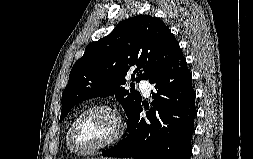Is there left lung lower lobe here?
<instances>
[{
	"instance_id": "0a47b994",
	"label": "left lung lower lobe",
	"mask_w": 253,
	"mask_h": 159,
	"mask_svg": "<svg viewBox=\"0 0 253 159\" xmlns=\"http://www.w3.org/2000/svg\"><path fill=\"white\" fill-rule=\"evenodd\" d=\"M192 75L179 50L170 62L149 79L154 85L147 117L141 103L128 117V136L104 151V156L136 159H190L196 115Z\"/></svg>"
}]
</instances>
